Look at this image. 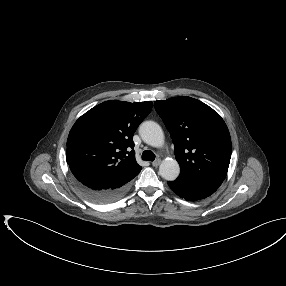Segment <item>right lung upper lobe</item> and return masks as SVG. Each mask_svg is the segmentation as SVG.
Instances as JSON below:
<instances>
[{
    "mask_svg": "<svg viewBox=\"0 0 286 286\" xmlns=\"http://www.w3.org/2000/svg\"><path fill=\"white\" fill-rule=\"evenodd\" d=\"M152 102L106 101L73 125L66 160L77 181L91 187L124 185L141 171L135 160L133 134Z\"/></svg>",
    "mask_w": 286,
    "mask_h": 286,
    "instance_id": "right-lung-upper-lobe-1",
    "label": "right lung upper lobe"
}]
</instances>
